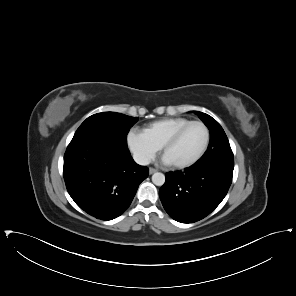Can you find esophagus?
<instances>
[{
    "instance_id": "esophagus-1",
    "label": "esophagus",
    "mask_w": 296,
    "mask_h": 296,
    "mask_svg": "<svg viewBox=\"0 0 296 296\" xmlns=\"http://www.w3.org/2000/svg\"><path fill=\"white\" fill-rule=\"evenodd\" d=\"M157 171V169L150 167L149 168V174H153Z\"/></svg>"
}]
</instances>
